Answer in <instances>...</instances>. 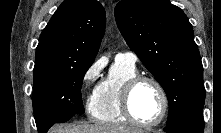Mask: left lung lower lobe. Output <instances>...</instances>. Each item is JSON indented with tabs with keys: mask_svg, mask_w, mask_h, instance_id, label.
I'll use <instances>...</instances> for the list:
<instances>
[{
	"mask_svg": "<svg viewBox=\"0 0 221 133\" xmlns=\"http://www.w3.org/2000/svg\"><path fill=\"white\" fill-rule=\"evenodd\" d=\"M203 108L194 109L182 115L172 124L164 128L165 132L172 133H203Z\"/></svg>",
	"mask_w": 221,
	"mask_h": 133,
	"instance_id": "1",
	"label": "left lung lower lobe"
}]
</instances>
